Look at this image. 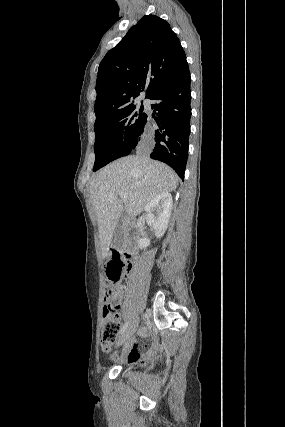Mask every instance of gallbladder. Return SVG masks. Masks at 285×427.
Returning a JSON list of instances; mask_svg holds the SVG:
<instances>
[{
  "label": "gallbladder",
  "mask_w": 285,
  "mask_h": 427,
  "mask_svg": "<svg viewBox=\"0 0 285 427\" xmlns=\"http://www.w3.org/2000/svg\"><path fill=\"white\" fill-rule=\"evenodd\" d=\"M125 219H126V211H123V213L120 217L119 223L116 226V229L114 231L113 238L111 241V246L114 249L119 250V249H122V247H123V242H124V225H123V222Z\"/></svg>",
  "instance_id": "1"
}]
</instances>
